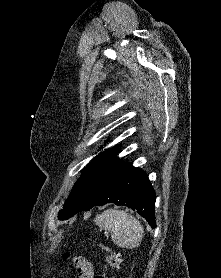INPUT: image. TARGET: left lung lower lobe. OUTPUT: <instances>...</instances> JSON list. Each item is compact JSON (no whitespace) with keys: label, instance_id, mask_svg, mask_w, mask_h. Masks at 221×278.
I'll use <instances>...</instances> for the list:
<instances>
[{"label":"left lung lower lobe","instance_id":"left-lung-lower-lobe-1","mask_svg":"<svg viewBox=\"0 0 221 278\" xmlns=\"http://www.w3.org/2000/svg\"><path fill=\"white\" fill-rule=\"evenodd\" d=\"M155 200V191L147 174L116 156L90 181L69 217L94 206L114 203L136 210L155 228Z\"/></svg>","mask_w":221,"mask_h":278}]
</instances>
